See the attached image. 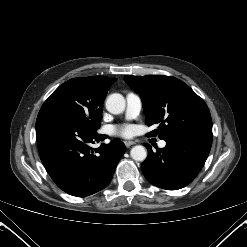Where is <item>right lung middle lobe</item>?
Returning <instances> with one entry per match:
<instances>
[{
  "instance_id": "dd1d6c3e",
  "label": "right lung middle lobe",
  "mask_w": 247,
  "mask_h": 247,
  "mask_svg": "<svg viewBox=\"0 0 247 247\" xmlns=\"http://www.w3.org/2000/svg\"><path fill=\"white\" fill-rule=\"evenodd\" d=\"M105 96L85 78L68 80L44 102L41 109H58L76 116L94 128L100 127Z\"/></svg>"
}]
</instances>
